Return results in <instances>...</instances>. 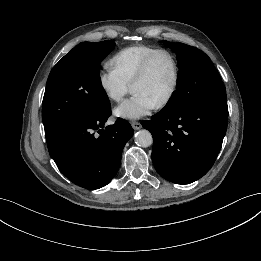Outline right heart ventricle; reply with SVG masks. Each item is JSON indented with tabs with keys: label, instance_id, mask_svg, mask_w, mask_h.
I'll list each match as a JSON object with an SVG mask.
<instances>
[{
	"label": "right heart ventricle",
	"instance_id": "obj_1",
	"mask_svg": "<svg viewBox=\"0 0 261 261\" xmlns=\"http://www.w3.org/2000/svg\"><path fill=\"white\" fill-rule=\"evenodd\" d=\"M159 48L150 45H132L116 52L109 65L121 78L131 84L145 58Z\"/></svg>",
	"mask_w": 261,
	"mask_h": 261
}]
</instances>
